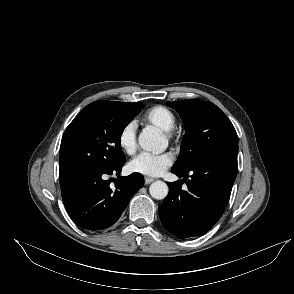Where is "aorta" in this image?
<instances>
[{
    "mask_svg": "<svg viewBox=\"0 0 294 294\" xmlns=\"http://www.w3.org/2000/svg\"><path fill=\"white\" fill-rule=\"evenodd\" d=\"M163 139L160 134L153 129H144L138 138L140 147L148 152L158 153L162 150ZM150 195L154 199H164L168 195V186L163 181H155L149 187Z\"/></svg>",
    "mask_w": 294,
    "mask_h": 294,
    "instance_id": "obj_1",
    "label": "aorta"
}]
</instances>
